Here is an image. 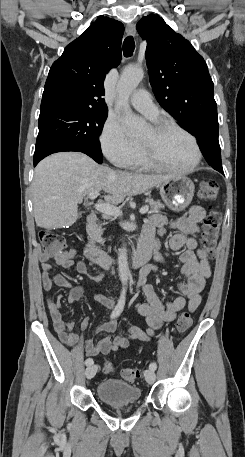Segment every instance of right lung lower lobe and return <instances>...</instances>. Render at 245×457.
<instances>
[{
  "label": "right lung lower lobe",
  "mask_w": 245,
  "mask_h": 457,
  "mask_svg": "<svg viewBox=\"0 0 245 457\" xmlns=\"http://www.w3.org/2000/svg\"><path fill=\"white\" fill-rule=\"evenodd\" d=\"M62 151H78V150L74 149V148H70V147H53V148L43 150L37 154H34V166H36L37 163L40 160H42L43 158H45L46 156H48L52 153L62 152Z\"/></svg>",
  "instance_id": "98d812e1"
}]
</instances>
